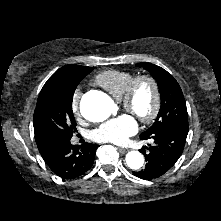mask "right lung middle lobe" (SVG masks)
I'll list each match as a JSON object with an SVG mask.
<instances>
[{"instance_id": "1", "label": "right lung middle lobe", "mask_w": 221, "mask_h": 221, "mask_svg": "<svg viewBox=\"0 0 221 221\" xmlns=\"http://www.w3.org/2000/svg\"><path fill=\"white\" fill-rule=\"evenodd\" d=\"M43 86L33 117L37 145L69 140L76 131L72 99L80 81L94 68L70 64Z\"/></svg>"}]
</instances>
